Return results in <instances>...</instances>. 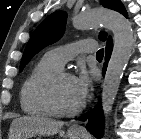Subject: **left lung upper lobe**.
<instances>
[{
    "mask_svg": "<svg viewBox=\"0 0 141 139\" xmlns=\"http://www.w3.org/2000/svg\"><path fill=\"white\" fill-rule=\"evenodd\" d=\"M104 7L115 10L128 17L124 5L120 0H101ZM66 23V13L63 11H56L49 15L33 32L26 49L24 51L20 70L38 53L41 49L49 44L59 40L63 35ZM101 40H106V33L101 32L99 35Z\"/></svg>",
    "mask_w": 141,
    "mask_h": 139,
    "instance_id": "1",
    "label": "left lung upper lobe"
}]
</instances>
